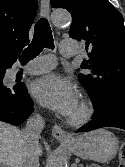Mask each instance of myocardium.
<instances>
[{
  "label": "myocardium",
  "instance_id": "f54148a6",
  "mask_svg": "<svg viewBox=\"0 0 125 167\" xmlns=\"http://www.w3.org/2000/svg\"><path fill=\"white\" fill-rule=\"evenodd\" d=\"M92 106L90 102L82 97L79 102V112L76 115H70L68 117V123L73 126H81L88 122L92 116Z\"/></svg>",
  "mask_w": 125,
  "mask_h": 167
}]
</instances>
